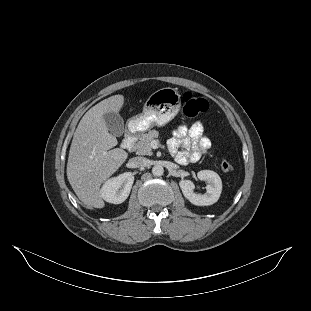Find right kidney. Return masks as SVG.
<instances>
[{
	"label": "right kidney",
	"instance_id": "1",
	"mask_svg": "<svg viewBox=\"0 0 311 311\" xmlns=\"http://www.w3.org/2000/svg\"><path fill=\"white\" fill-rule=\"evenodd\" d=\"M133 182V173L125 172L107 180L100 190V195L106 202L123 203L130 194Z\"/></svg>",
	"mask_w": 311,
	"mask_h": 311
}]
</instances>
